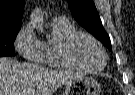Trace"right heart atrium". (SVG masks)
<instances>
[{
	"label": "right heart atrium",
	"instance_id": "right-heart-atrium-1",
	"mask_svg": "<svg viewBox=\"0 0 135 95\" xmlns=\"http://www.w3.org/2000/svg\"><path fill=\"white\" fill-rule=\"evenodd\" d=\"M14 45L24 59L35 63L43 61V42L36 37L31 24L24 25L18 31Z\"/></svg>",
	"mask_w": 135,
	"mask_h": 95
}]
</instances>
